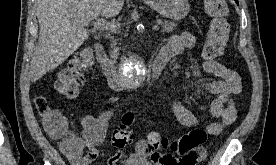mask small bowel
I'll list each match as a JSON object with an SVG mask.
<instances>
[{
	"mask_svg": "<svg viewBox=\"0 0 276 165\" xmlns=\"http://www.w3.org/2000/svg\"><path fill=\"white\" fill-rule=\"evenodd\" d=\"M195 43V36L190 32L173 35L163 46L160 55L169 61L173 57L180 55L184 50L194 47ZM203 70L217 77V80L205 83L186 84L182 89L200 87L202 90L217 96L212 102L210 113L212 117L219 118L220 121L209 124L207 131L210 135H218L225 126L232 124L236 119V109L231 96L241 92V78L236 71L215 60H205ZM195 75H198V73H195ZM172 111L178 122L183 126L188 128L197 126V117L185 107L179 98L174 100ZM111 116V110L102 111L97 115L84 114L80 117V124L82 126L81 134L78 135L73 131H67L79 144L78 150L74 153L65 152L61 148L73 165H89L97 159L99 155L97 147L105 141L108 122ZM84 149H87L86 154H83ZM137 152L138 157L147 160L153 165H197L205 157L204 149L198 150L194 155L179 158L171 154L161 153L150 156L145 152H141L138 148ZM132 159L128 158L119 149L108 159L107 165H117L119 162L126 165Z\"/></svg>",
	"mask_w": 276,
	"mask_h": 165,
	"instance_id": "small-bowel-1",
	"label": "small bowel"
}]
</instances>
